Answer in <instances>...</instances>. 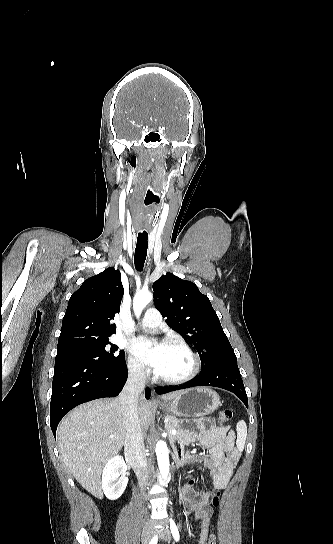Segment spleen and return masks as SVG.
Here are the masks:
<instances>
[{
    "mask_svg": "<svg viewBox=\"0 0 333 544\" xmlns=\"http://www.w3.org/2000/svg\"><path fill=\"white\" fill-rule=\"evenodd\" d=\"M237 431V445L238 448H242L246 441L247 426L244 420H239L236 426Z\"/></svg>",
    "mask_w": 333,
    "mask_h": 544,
    "instance_id": "obj_1",
    "label": "spleen"
}]
</instances>
